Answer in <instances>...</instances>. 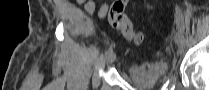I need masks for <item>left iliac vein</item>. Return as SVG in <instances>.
I'll list each match as a JSON object with an SVG mask.
<instances>
[{"label": "left iliac vein", "mask_w": 209, "mask_h": 90, "mask_svg": "<svg viewBox=\"0 0 209 90\" xmlns=\"http://www.w3.org/2000/svg\"><path fill=\"white\" fill-rule=\"evenodd\" d=\"M175 42L179 49L182 50L184 47V39L180 36V29H175Z\"/></svg>", "instance_id": "obj_1"}]
</instances>
